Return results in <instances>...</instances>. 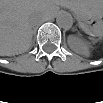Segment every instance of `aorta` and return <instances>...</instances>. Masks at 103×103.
I'll return each instance as SVG.
<instances>
[{
	"label": "aorta",
	"mask_w": 103,
	"mask_h": 103,
	"mask_svg": "<svg viewBox=\"0 0 103 103\" xmlns=\"http://www.w3.org/2000/svg\"><path fill=\"white\" fill-rule=\"evenodd\" d=\"M56 23L60 28L70 29L73 25V18L68 12H61L56 17Z\"/></svg>",
	"instance_id": "obj_1"
}]
</instances>
